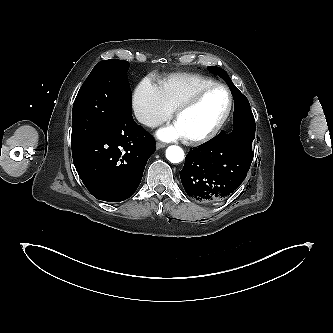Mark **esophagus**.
I'll return each mask as SVG.
<instances>
[{"instance_id": "34e87169", "label": "esophagus", "mask_w": 333, "mask_h": 333, "mask_svg": "<svg viewBox=\"0 0 333 333\" xmlns=\"http://www.w3.org/2000/svg\"><path fill=\"white\" fill-rule=\"evenodd\" d=\"M165 146H166V144H164V143H160V142L156 143V149H161V148H164Z\"/></svg>"}]
</instances>
